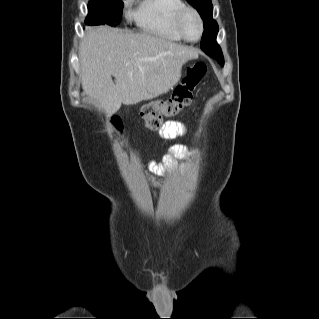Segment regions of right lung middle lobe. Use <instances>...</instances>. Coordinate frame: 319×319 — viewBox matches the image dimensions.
I'll return each instance as SVG.
<instances>
[{"label":"right lung middle lobe","mask_w":319,"mask_h":319,"mask_svg":"<svg viewBox=\"0 0 319 319\" xmlns=\"http://www.w3.org/2000/svg\"><path fill=\"white\" fill-rule=\"evenodd\" d=\"M122 9V0H90L85 24H108L111 26L119 24L122 16Z\"/></svg>","instance_id":"obj_1"}]
</instances>
